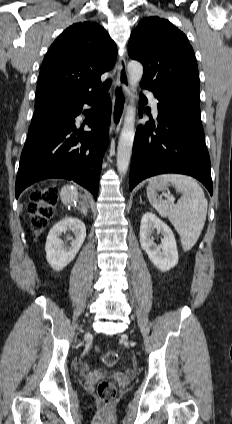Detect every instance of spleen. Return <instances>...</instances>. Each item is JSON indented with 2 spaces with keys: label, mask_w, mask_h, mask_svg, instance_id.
Returning <instances> with one entry per match:
<instances>
[{
  "label": "spleen",
  "mask_w": 232,
  "mask_h": 424,
  "mask_svg": "<svg viewBox=\"0 0 232 424\" xmlns=\"http://www.w3.org/2000/svg\"><path fill=\"white\" fill-rule=\"evenodd\" d=\"M158 179L170 181L182 196L173 205L169 201L157 199L155 191L149 185L148 200L162 217L170 220L180 235L183 250L189 251L197 242L206 220L208 203L203 189L194 178L187 175L164 174Z\"/></svg>",
  "instance_id": "3e777b00"
}]
</instances>
